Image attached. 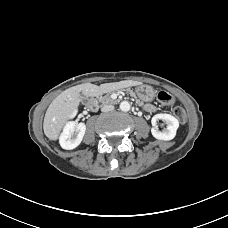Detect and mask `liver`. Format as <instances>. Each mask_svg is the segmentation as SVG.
<instances>
[{"label": "liver", "mask_w": 228, "mask_h": 228, "mask_svg": "<svg viewBox=\"0 0 228 228\" xmlns=\"http://www.w3.org/2000/svg\"><path fill=\"white\" fill-rule=\"evenodd\" d=\"M124 84L137 86L142 83L138 81H122L102 86L84 83L66 89L51 102L46 111L43 122L44 134L48 139L53 141L59 138L62 129L72 117L73 113L78 109L82 101L81 94L86 97L99 96L106 91L122 87Z\"/></svg>", "instance_id": "6515ba94"}]
</instances>
